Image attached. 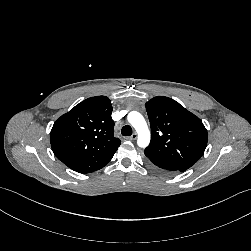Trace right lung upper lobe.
<instances>
[{"instance_id": "cb5924a9", "label": "right lung upper lobe", "mask_w": 251, "mask_h": 251, "mask_svg": "<svg viewBox=\"0 0 251 251\" xmlns=\"http://www.w3.org/2000/svg\"><path fill=\"white\" fill-rule=\"evenodd\" d=\"M111 101L106 96L88 98L53 125L51 147L56 157L79 173L104 167L121 141L114 137Z\"/></svg>"}]
</instances>
